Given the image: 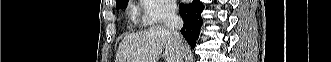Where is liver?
<instances>
[{"label": "liver", "mask_w": 331, "mask_h": 62, "mask_svg": "<svg viewBox=\"0 0 331 62\" xmlns=\"http://www.w3.org/2000/svg\"><path fill=\"white\" fill-rule=\"evenodd\" d=\"M165 48V62H176L175 46L168 29L162 25L129 34L120 43L115 62H157Z\"/></svg>", "instance_id": "1"}]
</instances>
